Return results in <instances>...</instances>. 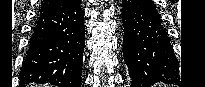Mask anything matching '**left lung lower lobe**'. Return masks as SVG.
<instances>
[{
	"instance_id": "obj_1",
	"label": "left lung lower lobe",
	"mask_w": 205,
	"mask_h": 87,
	"mask_svg": "<svg viewBox=\"0 0 205 87\" xmlns=\"http://www.w3.org/2000/svg\"><path fill=\"white\" fill-rule=\"evenodd\" d=\"M123 55L131 87L175 81L178 73L170 39L152 0H122Z\"/></svg>"
}]
</instances>
